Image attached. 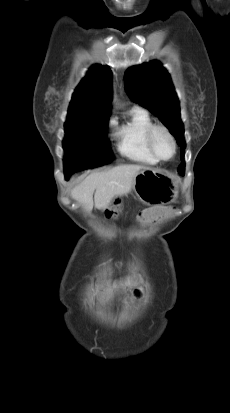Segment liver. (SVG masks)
<instances>
[{
  "instance_id": "1",
  "label": "liver",
  "mask_w": 230,
  "mask_h": 413,
  "mask_svg": "<svg viewBox=\"0 0 230 413\" xmlns=\"http://www.w3.org/2000/svg\"><path fill=\"white\" fill-rule=\"evenodd\" d=\"M142 168L138 164H124L105 172H94L73 188L71 196L87 212H91L93 207L105 210L114 197L126 195L132 190L133 180Z\"/></svg>"
}]
</instances>
